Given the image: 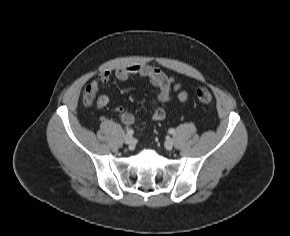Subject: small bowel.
Wrapping results in <instances>:
<instances>
[{
	"mask_svg": "<svg viewBox=\"0 0 290 236\" xmlns=\"http://www.w3.org/2000/svg\"><path fill=\"white\" fill-rule=\"evenodd\" d=\"M114 76L117 83L126 81L132 76H139L148 79L151 84L156 88L157 94L152 101L154 110L152 113V120L161 121L166 116V104L171 101L173 93H176L177 99L181 103L187 101V94L181 90L179 85L176 84L171 76L162 70L146 65V64H132L117 68L114 72L105 70L98 74L96 78L87 86L91 87L95 93L98 92L99 85L106 84ZM109 104V98L106 95L98 96L96 100V109L102 110ZM116 113L120 120L130 125L133 123V115L123 108H117Z\"/></svg>",
	"mask_w": 290,
	"mask_h": 236,
	"instance_id": "obj_1",
	"label": "small bowel"
}]
</instances>
